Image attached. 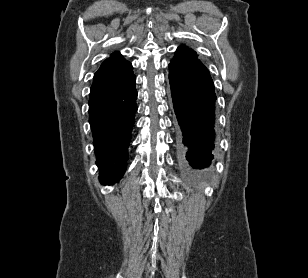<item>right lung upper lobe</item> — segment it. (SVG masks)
<instances>
[{
  "label": "right lung upper lobe",
  "mask_w": 308,
  "mask_h": 278,
  "mask_svg": "<svg viewBox=\"0 0 308 278\" xmlns=\"http://www.w3.org/2000/svg\"><path fill=\"white\" fill-rule=\"evenodd\" d=\"M132 66L118 52L107 58L94 75L91 88L113 86L125 81L132 74Z\"/></svg>",
  "instance_id": "obj_1"
}]
</instances>
